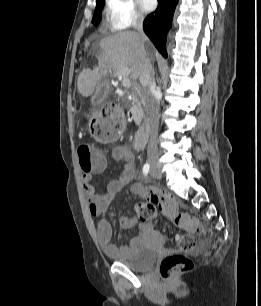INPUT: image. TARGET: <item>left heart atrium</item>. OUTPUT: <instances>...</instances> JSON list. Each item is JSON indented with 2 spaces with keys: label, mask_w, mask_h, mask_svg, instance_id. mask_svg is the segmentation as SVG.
Masks as SVG:
<instances>
[{
  "label": "left heart atrium",
  "mask_w": 261,
  "mask_h": 306,
  "mask_svg": "<svg viewBox=\"0 0 261 306\" xmlns=\"http://www.w3.org/2000/svg\"><path fill=\"white\" fill-rule=\"evenodd\" d=\"M143 11L149 12L157 5V0H138Z\"/></svg>",
  "instance_id": "39dd6f15"
}]
</instances>
